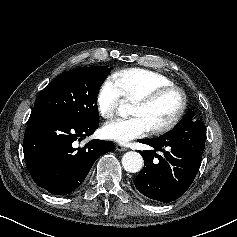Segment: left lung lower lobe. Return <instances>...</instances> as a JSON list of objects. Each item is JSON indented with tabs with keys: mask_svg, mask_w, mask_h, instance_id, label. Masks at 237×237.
I'll list each match as a JSON object with an SVG mask.
<instances>
[{
	"mask_svg": "<svg viewBox=\"0 0 237 237\" xmlns=\"http://www.w3.org/2000/svg\"><path fill=\"white\" fill-rule=\"evenodd\" d=\"M205 125L188 117L168 133L139 140L153 147L139 151L144 168L135 178V187L146 197L169 203L183 195L194 181L205 148Z\"/></svg>",
	"mask_w": 237,
	"mask_h": 237,
	"instance_id": "obj_1",
	"label": "left lung lower lobe"
}]
</instances>
